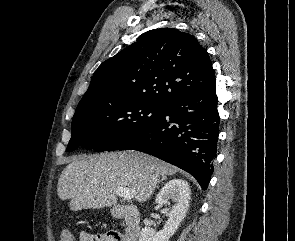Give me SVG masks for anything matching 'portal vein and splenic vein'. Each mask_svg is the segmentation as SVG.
I'll list each match as a JSON object with an SVG mask.
<instances>
[{"label": "portal vein and splenic vein", "instance_id": "18ae733b", "mask_svg": "<svg viewBox=\"0 0 295 241\" xmlns=\"http://www.w3.org/2000/svg\"><path fill=\"white\" fill-rule=\"evenodd\" d=\"M117 196L124 198L125 200H132L135 195V190L129 188L119 187L115 190Z\"/></svg>", "mask_w": 295, "mask_h": 241}]
</instances>
